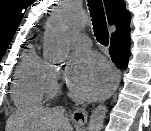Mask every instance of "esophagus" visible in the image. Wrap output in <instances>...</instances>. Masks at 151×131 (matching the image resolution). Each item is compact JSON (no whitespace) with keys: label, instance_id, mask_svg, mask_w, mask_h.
<instances>
[{"label":"esophagus","instance_id":"obj_1","mask_svg":"<svg viewBox=\"0 0 151 131\" xmlns=\"http://www.w3.org/2000/svg\"><path fill=\"white\" fill-rule=\"evenodd\" d=\"M121 80V72L119 70H115L113 79L109 85V87L106 89V91L103 93V95L99 98V101H104L109 99L117 90ZM88 118V111L86 108H78L75 110L72 114V120L79 125H83L86 123Z\"/></svg>","mask_w":151,"mask_h":131}]
</instances>
